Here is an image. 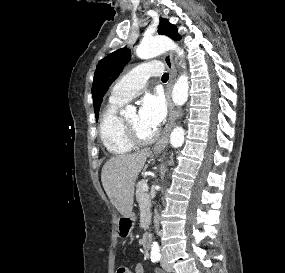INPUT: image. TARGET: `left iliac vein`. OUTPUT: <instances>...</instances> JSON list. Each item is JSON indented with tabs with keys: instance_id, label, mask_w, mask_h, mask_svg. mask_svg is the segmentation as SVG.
<instances>
[{
	"instance_id": "left-iliac-vein-1",
	"label": "left iliac vein",
	"mask_w": 285,
	"mask_h": 273,
	"mask_svg": "<svg viewBox=\"0 0 285 273\" xmlns=\"http://www.w3.org/2000/svg\"><path fill=\"white\" fill-rule=\"evenodd\" d=\"M162 268L166 271V272H171L172 271V267L169 265V263L167 262V258L166 255L163 254L162 256Z\"/></svg>"
}]
</instances>
